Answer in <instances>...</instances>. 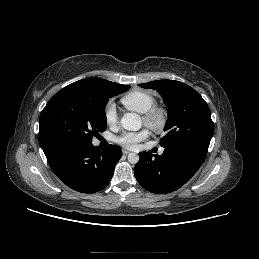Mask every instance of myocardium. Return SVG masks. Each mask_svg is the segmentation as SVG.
I'll list each match as a JSON object with an SVG mask.
<instances>
[{
  "label": "myocardium",
  "mask_w": 259,
  "mask_h": 259,
  "mask_svg": "<svg viewBox=\"0 0 259 259\" xmlns=\"http://www.w3.org/2000/svg\"><path fill=\"white\" fill-rule=\"evenodd\" d=\"M144 123L155 132H161L167 125L168 112L159 105H153L143 113Z\"/></svg>",
  "instance_id": "myocardium-1"
}]
</instances>
